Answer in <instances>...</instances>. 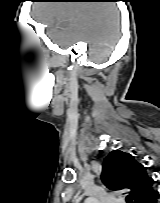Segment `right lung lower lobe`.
<instances>
[{
	"instance_id": "98d812e1",
	"label": "right lung lower lobe",
	"mask_w": 160,
	"mask_h": 203,
	"mask_svg": "<svg viewBox=\"0 0 160 203\" xmlns=\"http://www.w3.org/2000/svg\"><path fill=\"white\" fill-rule=\"evenodd\" d=\"M160 195L158 191H155L150 197L146 198L143 203H157Z\"/></svg>"
}]
</instances>
